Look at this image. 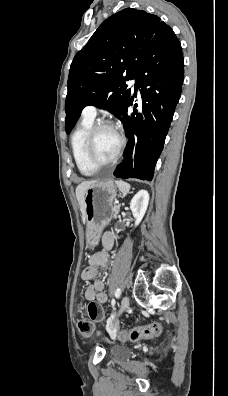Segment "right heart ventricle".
Here are the masks:
<instances>
[{"instance_id": "obj_1", "label": "right heart ventricle", "mask_w": 228, "mask_h": 396, "mask_svg": "<svg viewBox=\"0 0 228 396\" xmlns=\"http://www.w3.org/2000/svg\"><path fill=\"white\" fill-rule=\"evenodd\" d=\"M93 122L94 118L83 116L71 137V148L74 160L80 172L85 175H91L97 171V169L88 164L84 154L85 141L89 130L93 126Z\"/></svg>"}]
</instances>
